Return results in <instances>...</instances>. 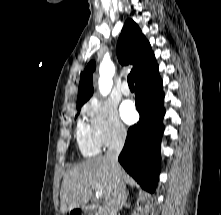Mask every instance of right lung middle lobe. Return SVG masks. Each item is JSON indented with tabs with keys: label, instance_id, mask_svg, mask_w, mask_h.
Wrapping results in <instances>:
<instances>
[{
	"label": "right lung middle lobe",
	"instance_id": "dd1d6c3e",
	"mask_svg": "<svg viewBox=\"0 0 221 215\" xmlns=\"http://www.w3.org/2000/svg\"><path fill=\"white\" fill-rule=\"evenodd\" d=\"M83 104L77 105V109H80Z\"/></svg>",
	"mask_w": 221,
	"mask_h": 215
}]
</instances>
